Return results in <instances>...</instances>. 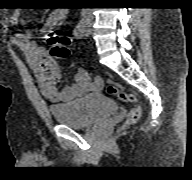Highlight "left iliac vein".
Instances as JSON below:
<instances>
[{"instance_id":"left-iliac-vein-1","label":"left iliac vein","mask_w":192,"mask_h":180,"mask_svg":"<svg viewBox=\"0 0 192 180\" xmlns=\"http://www.w3.org/2000/svg\"><path fill=\"white\" fill-rule=\"evenodd\" d=\"M91 33V30L89 28L84 29V36L88 37Z\"/></svg>"}]
</instances>
